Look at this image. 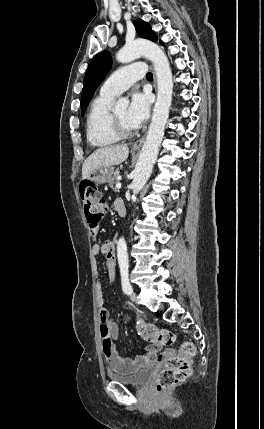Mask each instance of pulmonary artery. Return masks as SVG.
<instances>
[{
  "label": "pulmonary artery",
  "mask_w": 264,
  "mask_h": 429,
  "mask_svg": "<svg viewBox=\"0 0 264 429\" xmlns=\"http://www.w3.org/2000/svg\"><path fill=\"white\" fill-rule=\"evenodd\" d=\"M146 66L143 63H134L114 72L101 86L100 93L117 96L131 87L137 80L144 77Z\"/></svg>",
  "instance_id": "e3ab8cb5"
}]
</instances>
